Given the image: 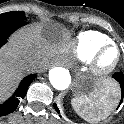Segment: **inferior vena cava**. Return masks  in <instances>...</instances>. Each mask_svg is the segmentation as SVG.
I'll use <instances>...</instances> for the list:
<instances>
[{"label": "inferior vena cava", "mask_w": 124, "mask_h": 124, "mask_svg": "<svg viewBox=\"0 0 124 124\" xmlns=\"http://www.w3.org/2000/svg\"><path fill=\"white\" fill-rule=\"evenodd\" d=\"M40 61L37 59H31L30 60V67L34 69H39L40 68Z\"/></svg>", "instance_id": "602c4592"}]
</instances>
